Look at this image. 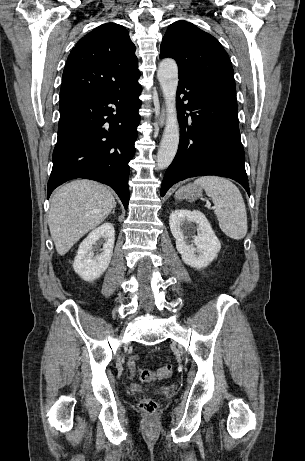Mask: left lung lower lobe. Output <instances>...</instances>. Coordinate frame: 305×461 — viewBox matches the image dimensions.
<instances>
[{
	"label": "left lung lower lobe",
	"instance_id": "1",
	"mask_svg": "<svg viewBox=\"0 0 305 461\" xmlns=\"http://www.w3.org/2000/svg\"><path fill=\"white\" fill-rule=\"evenodd\" d=\"M235 89V82L228 79L191 81L179 78L176 101L180 141L177 154L165 173L161 196L173 184L202 175L234 179L250 195ZM180 94H184L182 99Z\"/></svg>",
	"mask_w": 305,
	"mask_h": 461
}]
</instances>
